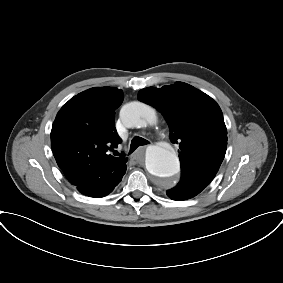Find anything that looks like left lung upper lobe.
<instances>
[{"label":"left lung upper lobe","mask_w":283,"mask_h":283,"mask_svg":"<svg viewBox=\"0 0 283 283\" xmlns=\"http://www.w3.org/2000/svg\"><path fill=\"white\" fill-rule=\"evenodd\" d=\"M138 98L159 110L179 144L182 175L209 184L224 159L227 130L218 104L183 82L140 90Z\"/></svg>","instance_id":"5c2ea615"}]
</instances>
